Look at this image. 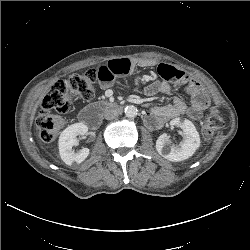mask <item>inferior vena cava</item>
Listing matches in <instances>:
<instances>
[{
	"instance_id": "602c4592",
	"label": "inferior vena cava",
	"mask_w": 250,
	"mask_h": 250,
	"mask_svg": "<svg viewBox=\"0 0 250 250\" xmlns=\"http://www.w3.org/2000/svg\"><path fill=\"white\" fill-rule=\"evenodd\" d=\"M120 111L118 109H109L105 112L104 117L107 120L115 119L119 115Z\"/></svg>"
}]
</instances>
